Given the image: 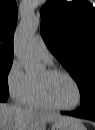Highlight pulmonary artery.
I'll use <instances>...</instances> for the list:
<instances>
[{"mask_svg": "<svg viewBox=\"0 0 95 130\" xmlns=\"http://www.w3.org/2000/svg\"><path fill=\"white\" fill-rule=\"evenodd\" d=\"M32 51L40 59L49 62L48 48L40 35H36L32 40Z\"/></svg>", "mask_w": 95, "mask_h": 130, "instance_id": "obj_1", "label": "pulmonary artery"}]
</instances>
